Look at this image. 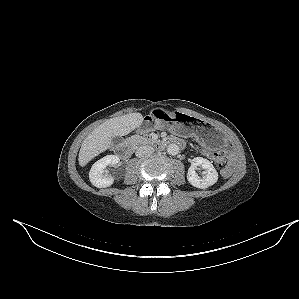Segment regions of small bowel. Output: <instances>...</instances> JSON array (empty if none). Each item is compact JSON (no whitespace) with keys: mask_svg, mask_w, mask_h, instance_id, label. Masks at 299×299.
Returning a JSON list of instances; mask_svg holds the SVG:
<instances>
[{"mask_svg":"<svg viewBox=\"0 0 299 299\" xmlns=\"http://www.w3.org/2000/svg\"><path fill=\"white\" fill-rule=\"evenodd\" d=\"M175 140L178 141L181 144V146L184 144L183 140H181L179 138H176Z\"/></svg>","mask_w":299,"mask_h":299,"instance_id":"small-bowel-1","label":"small bowel"}]
</instances>
